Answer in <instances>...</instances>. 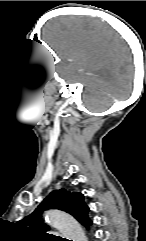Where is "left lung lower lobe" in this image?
<instances>
[{
    "mask_svg": "<svg viewBox=\"0 0 146 241\" xmlns=\"http://www.w3.org/2000/svg\"><path fill=\"white\" fill-rule=\"evenodd\" d=\"M91 224H92V221H89V222H87L85 225H86V227L88 228V226L91 225Z\"/></svg>",
    "mask_w": 146,
    "mask_h": 241,
    "instance_id": "1",
    "label": "left lung lower lobe"
}]
</instances>
